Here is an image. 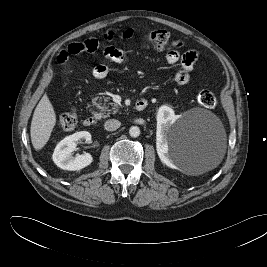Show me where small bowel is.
Returning <instances> with one entry per match:
<instances>
[{
	"mask_svg": "<svg viewBox=\"0 0 267 267\" xmlns=\"http://www.w3.org/2000/svg\"><path fill=\"white\" fill-rule=\"evenodd\" d=\"M113 31H108L104 34L103 38L106 41H112L115 38ZM99 47V41L96 38H88L83 42H73L62 50L57 60L59 63H65L69 56L77 55L82 52H95ZM196 51H189L183 56L176 52H169L166 55V63L168 65H175L180 62V69L175 74V83L178 86H184L189 82L190 72L197 59ZM104 62L96 64L92 70V74L96 79H103L109 72V63L124 64L128 61L126 52L114 46H108L104 50Z\"/></svg>",
	"mask_w": 267,
	"mask_h": 267,
	"instance_id": "c3829d8e",
	"label": "small bowel"
}]
</instances>
